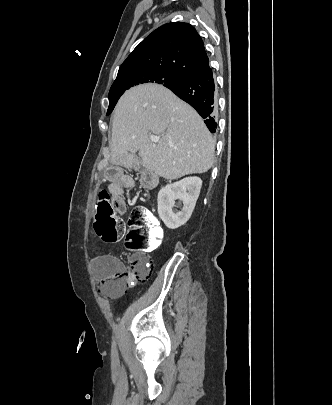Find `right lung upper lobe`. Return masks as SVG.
<instances>
[{
  "mask_svg": "<svg viewBox=\"0 0 332 405\" xmlns=\"http://www.w3.org/2000/svg\"><path fill=\"white\" fill-rule=\"evenodd\" d=\"M209 65L204 43L188 23L162 25L145 38L120 66L118 76L133 71L190 75Z\"/></svg>",
  "mask_w": 332,
  "mask_h": 405,
  "instance_id": "1",
  "label": "right lung upper lobe"
}]
</instances>
